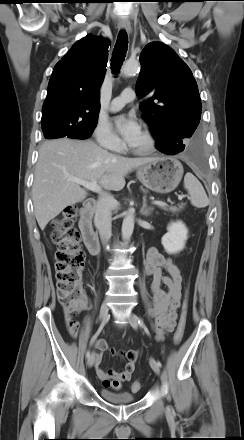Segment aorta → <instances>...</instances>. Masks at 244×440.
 I'll return each mask as SVG.
<instances>
[{"label":"aorta","instance_id":"762f6f07","mask_svg":"<svg viewBox=\"0 0 244 440\" xmlns=\"http://www.w3.org/2000/svg\"><path fill=\"white\" fill-rule=\"evenodd\" d=\"M139 69V63L137 61H127L122 66V73L125 76H130L136 73ZM134 230V213L133 211H128L122 223V238L123 240H129L132 236Z\"/></svg>","mask_w":244,"mask_h":440}]
</instances>
